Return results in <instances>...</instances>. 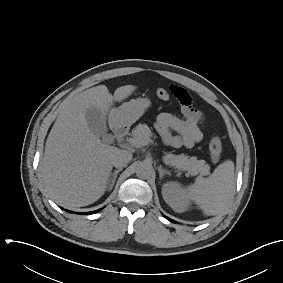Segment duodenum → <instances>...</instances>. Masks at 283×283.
I'll use <instances>...</instances> for the list:
<instances>
[{
    "label": "duodenum",
    "mask_w": 283,
    "mask_h": 283,
    "mask_svg": "<svg viewBox=\"0 0 283 283\" xmlns=\"http://www.w3.org/2000/svg\"><path fill=\"white\" fill-rule=\"evenodd\" d=\"M113 133L117 140L122 141L128 133V127L121 123H116L113 126Z\"/></svg>",
    "instance_id": "duodenum-1"
}]
</instances>
